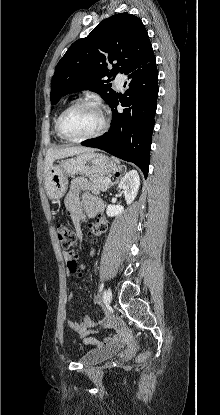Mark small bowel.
<instances>
[{"label": "small bowel", "mask_w": 220, "mask_h": 415, "mask_svg": "<svg viewBox=\"0 0 220 415\" xmlns=\"http://www.w3.org/2000/svg\"><path fill=\"white\" fill-rule=\"evenodd\" d=\"M70 216L80 242H84L83 227L90 220L96 219L88 231V242L90 245L88 256L94 254V242L97 236L104 233L107 227L106 220L102 217L104 203L97 196V190L87 180L78 179L72 183L71 189L67 196ZM83 268V266H82ZM72 298V295L70 296ZM104 325L110 328L109 320L104 321ZM67 327L76 332L86 345H92L97 348L104 346H113L117 343L116 337H107L99 340L94 337L97 333L96 322L90 318L84 317L78 322L73 319L67 321Z\"/></svg>", "instance_id": "obj_1"}]
</instances>
